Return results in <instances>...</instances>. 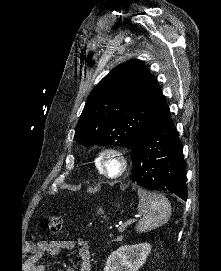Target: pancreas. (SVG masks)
Returning <instances> with one entry per match:
<instances>
[{
  "label": "pancreas",
  "mask_w": 221,
  "mask_h": 271,
  "mask_svg": "<svg viewBox=\"0 0 221 271\" xmlns=\"http://www.w3.org/2000/svg\"><path fill=\"white\" fill-rule=\"evenodd\" d=\"M121 237V235H119ZM111 244H114V239H107V246L109 247Z\"/></svg>",
  "instance_id": "cf45deb5"
}]
</instances>
